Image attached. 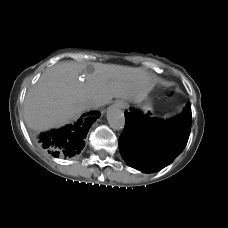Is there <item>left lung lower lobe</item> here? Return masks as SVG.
<instances>
[{
    "label": "left lung lower lobe",
    "mask_w": 228,
    "mask_h": 228,
    "mask_svg": "<svg viewBox=\"0 0 228 228\" xmlns=\"http://www.w3.org/2000/svg\"><path fill=\"white\" fill-rule=\"evenodd\" d=\"M191 104L169 120L146 117L137 110L125 113L126 126L119 138L124 161L143 172L169 165L185 148L191 131Z\"/></svg>",
    "instance_id": "left-lung-lower-lobe-1"
}]
</instances>
